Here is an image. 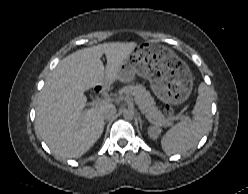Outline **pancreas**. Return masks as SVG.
<instances>
[{"instance_id":"cf45deb5","label":"pancreas","mask_w":248,"mask_h":194,"mask_svg":"<svg viewBox=\"0 0 248 194\" xmlns=\"http://www.w3.org/2000/svg\"><path fill=\"white\" fill-rule=\"evenodd\" d=\"M120 93L134 96L135 100L141 105L142 113L149 121L154 122L157 125H171L172 119L165 117L162 112L158 110L153 97L143 85L137 84L125 86L120 90Z\"/></svg>"}]
</instances>
